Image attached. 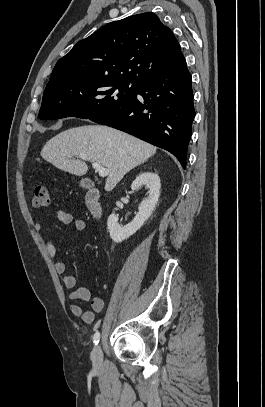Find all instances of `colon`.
<instances>
[{
	"instance_id": "obj_1",
	"label": "colon",
	"mask_w": 265,
	"mask_h": 407,
	"mask_svg": "<svg viewBox=\"0 0 265 407\" xmlns=\"http://www.w3.org/2000/svg\"><path fill=\"white\" fill-rule=\"evenodd\" d=\"M51 203V195L46 185H38L34 191L33 205L35 207H46Z\"/></svg>"
}]
</instances>
